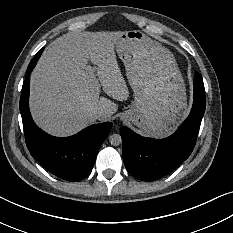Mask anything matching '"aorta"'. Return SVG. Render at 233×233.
Segmentation results:
<instances>
[{"label":"aorta","instance_id":"obj_1","mask_svg":"<svg viewBox=\"0 0 233 233\" xmlns=\"http://www.w3.org/2000/svg\"><path fill=\"white\" fill-rule=\"evenodd\" d=\"M109 143L113 146H118L122 143V139H121V136L120 134H112L110 137H109Z\"/></svg>","mask_w":233,"mask_h":233}]
</instances>
